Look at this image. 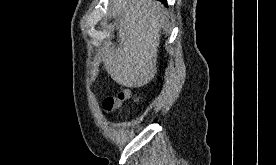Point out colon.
<instances>
[{
    "label": "colon",
    "instance_id": "obj_1",
    "mask_svg": "<svg viewBox=\"0 0 276 165\" xmlns=\"http://www.w3.org/2000/svg\"><path fill=\"white\" fill-rule=\"evenodd\" d=\"M133 99V95L130 90L121 92L118 96L108 97L103 103V108L106 112H113L120 110L124 104Z\"/></svg>",
    "mask_w": 276,
    "mask_h": 165
}]
</instances>
